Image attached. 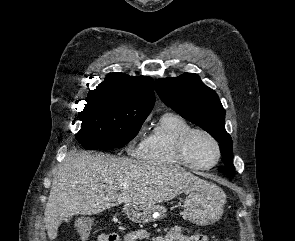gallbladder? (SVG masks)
Masks as SVG:
<instances>
[{
    "mask_svg": "<svg viewBox=\"0 0 295 241\" xmlns=\"http://www.w3.org/2000/svg\"><path fill=\"white\" fill-rule=\"evenodd\" d=\"M69 221H70V217H68V218L65 219V222L68 223Z\"/></svg>",
    "mask_w": 295,
    "mask_h": 241,
    "instance_id": "obj_1",
    "label": "gallbladder"
}]
</instances>
